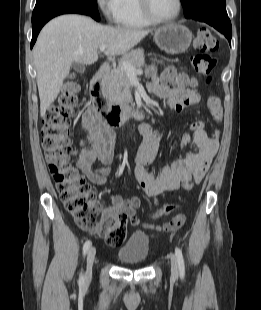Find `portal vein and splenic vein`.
I'll list each match as a JSON object with an SVG mask.
<instances>
[{"label":"portal vein and splenic vein","instance_id":"1","mask_svg":"<svg viewBox=\"0 0 261 310\" xmlns=\"http://www.w3.org/2000/svg\"><path fill=\"white\" fill-rule=\"evenodd\" d=\"M107 48V44H101L100 45V51L103 52ZM122 68L127 73L129 77H136L137 75H142L143 70L140 68H135L134 66L130 65L127 62L121 63Z\"/></svg>","mask_w":261,"mask_h":310}]
</instances>
